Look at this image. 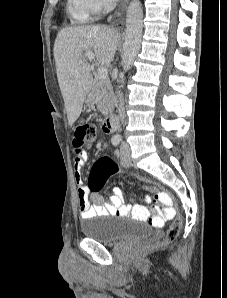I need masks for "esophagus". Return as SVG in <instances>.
Segmentation results:
<instances>
[{
    "instance_id": "esophagus-1",
    "label": "esophagus",
    "mask_w": 227,
    "mask_h": 298,
    "mask_svg": "<svg viewBox=\"0 0 227 298\" xmlns=\"http://www.w3.org/2000/svg\"><path fill=\"white\" fill-rule=\"evenodd\" d=\"M125 2H126V0H122L118 12H116V14L113 17V23L116 24V25H118L121 21V15H122L121 10L124 7Z\"/></svg>"
}]
</instances>
